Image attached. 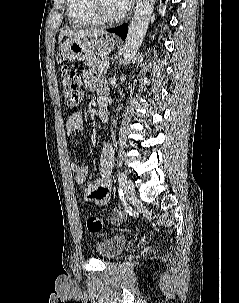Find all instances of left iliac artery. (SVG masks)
Here are the masks:
<instances>
[{"mask_svg":"<svg viewBox=\"0 0 239 303\" xmlns=\"http://www.w3.org/2000/svg\"><path fill=\"white\" fill-rule=\"evenodd\" d=\"M126 179L127 177L124 173L118 174V185H119L118 192L120 197L124 195L123 188L125 186Z\"/></svg>","mask_w":239,"mask_h":303,"instance_id":"obj_1","label":"left iliac artery"}]
</instances>
